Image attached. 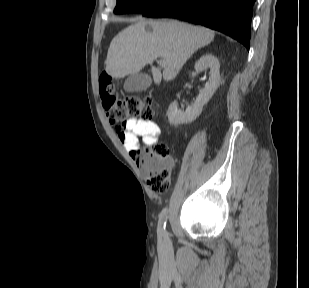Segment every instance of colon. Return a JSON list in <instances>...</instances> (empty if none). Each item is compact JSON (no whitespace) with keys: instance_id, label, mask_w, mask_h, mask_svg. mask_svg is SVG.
I'll return each mask as SVG.
<instances>
[{"instance_id":"colon-1","label":"colon","mask_w":309,"mask_h":288,"mask_svg":"<svg viewBox=\"0 0 309 288\" xmlns=\"http://www.w3.org/2000/svg\"><path fill=\"white\" fill-rule=\"evenodd\" d=\"M99 91L106 114L113 122H124L135 117L149 119L154 114L156 102L149 96L132 94L119 99L114 81L108 73L101 74ZM133 155L153 191L164 192L170 188L172 163L165 144L155 143L138 148Z\"/></svg>"}]
</instances>
